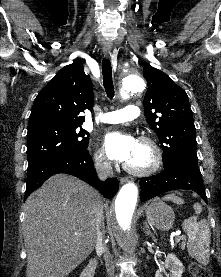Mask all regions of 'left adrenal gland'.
Instances as JSON below:
<instances>
[{
	"mask_svg": "<svg viewBox=\"0 0 221 277\" xmlns=\"http://www.w3.org/2000/svg\"><path fill=\"white\" fill-rule=\"evenodd\" d=\"M143 231H144V233L146 235H150L152 237V239L155 241V237H154L153 233L151 232L147 222L144 223V229H143Z\"/></svg>",
	"mask_w": 221,
	"mask_h": 277,
	"instance_id": "1",
	"label": "left adrenal gland"
}]
</instances>
